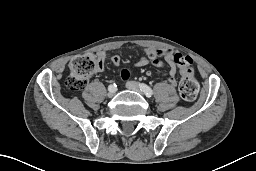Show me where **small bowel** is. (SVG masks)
I'll return each mask as SVG.
<instances>
[{"label":"small bowel","instance_id":"1","mask_svg":"<svg viewBox=\"0 0 256 171\" xmlns=\"http://www.w3.org/2000/svg\"><path fill=\"white\" fill-rule=\"evenodd\" d=\"M142 50L145 55L140 58L137 66L142 67L148 64H153L156 67H163L165 64L161 61V58H164L169 70L164 73L163 76L167 78L171 85H175L178 66L177 57L181 55V53L170 48H143ZM97 56L102 60V62L108 58L107 53L104 51L98 52ZM110 60L116 66H118L121 62L119 55H112ZM102 67L99 70H101Z\"/></svg>","mask_w":256,"mask_h":171}]
</instances>
